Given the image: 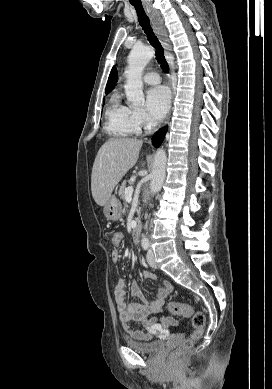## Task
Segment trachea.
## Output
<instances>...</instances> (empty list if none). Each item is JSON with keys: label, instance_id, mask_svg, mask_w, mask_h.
I'll return each instance as SVG.
<instances>
[{"label": "trachea", "instance_id": "obj_1", "mask_svg": "<svg viewBox=\"0 0 272 389\" xmlns=\"http://www.w3.org/2000/svg\"><path fill=\"white\" fill-rule=\"evenodd\" d=\"M132 5L134 6V8H135V10L137 12L138 21H139L142 29L146 33L150 44L152 46H154V48L156 49V59H157V61L160 63V66H161L162 70L165 73H168L169 72V66H168V63H167V61L165 60V57H164L163 47L161 46L159 40L155 36V34H154V32H153V30H152V28L150 26L149 18H148V16L145 13L142 4H132Z\"/></svg>", "mask_w": 272, "mask_h": 389}]
</instances>
